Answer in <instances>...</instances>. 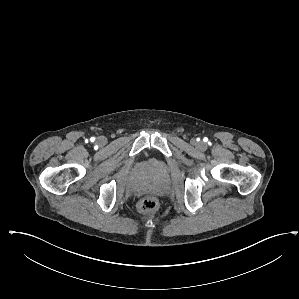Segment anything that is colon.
I'll use <instances>...</instances> for the list:
<instances>
[{
    "label": "colon",
    "instance_id": "obj_1",
    "mask_svg": "<svg viewBox=\"0 0 299 299\" xmlns=\"http://www.w3.org/2000/svg\"><path fill=\"white\" fill-rule=\"evenodd\" d=\"M158 200L155 197L147 196L142 198L138 205L137 209L142 214H150L157 210Z\"/></svg>",
    "mask_w": 299,
    "mask_h": 299
}]
</instances>
